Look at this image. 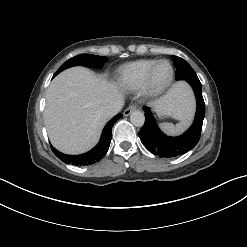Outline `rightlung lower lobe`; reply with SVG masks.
I'll return each mask as SVG.
<instances>
[{
  "instance_id": "98d812e1",
  "label": "right lung lower lobe",
  "mask_w": 247,
  "mask_h": 247,
  "mask_svg": "<svg viewBox=\"0 0 247 247\" xmlns=\"http://www.w3.org/2000/svg\"><path fill=\"white\" fill-rule=\"evenodd\" d=\"M122 116V114L116 115L105 125L99 143L89 152L75 156L65 155L51 146L52 151L60 160L67 164H73L76 166H86L99 162L109 149L110 142L112 139V127L115 124V122Z\"/></svg>"
}]
</instances>
